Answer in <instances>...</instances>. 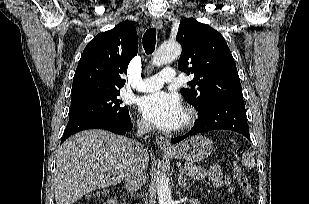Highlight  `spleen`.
<instances>
[{
    "label": "spleen",
    "mask_w": 309,
    "mask_h": 204,
    "mask_svg": "<svg viewBox=\"0 0 309 204\" xmlns=\"http://www.w3.org/2000/svg\"><path fill=\"white\" fill-rule=\"evenodd\" d=\"M242 164L248 169H252L256 165L254 158L248 152L243 153Z\"/></svg>",
    "instance_id": "3e777b00"
}]
</instances>
